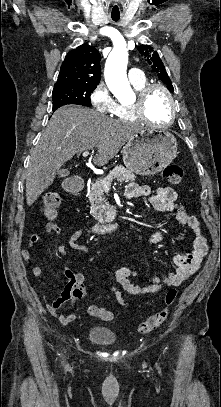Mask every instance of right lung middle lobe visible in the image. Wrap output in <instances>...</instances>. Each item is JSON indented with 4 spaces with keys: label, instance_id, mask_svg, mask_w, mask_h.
<instances>
[{
    "label": "right lung middle lobe",
    "instance_id": "dd1d6c3e",
    "mask_svg": "<svg viewBox=\"0 0 221 407\" xmlns=\"http://www.w3.org/2000/svg\"><path fill=\"white\" fill-rule=\"evenodd\" d=\"M96 87V85L71 84L54 88L53 110L67 104L91 106L90 94Z\"/></svg>",
    "mask_w": 221,
    "mask_h": 407
}]
</instances>
